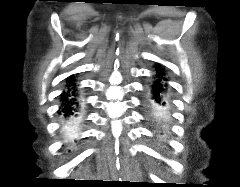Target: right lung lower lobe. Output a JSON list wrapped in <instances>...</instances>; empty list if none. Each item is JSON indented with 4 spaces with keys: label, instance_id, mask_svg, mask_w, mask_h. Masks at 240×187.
<instances>
[{
    "label": "right lung lower lobe",
    "instance_id": "right-lung-lower-lobe-1",
    "mask_svg": "<svg viewBox=\"0 0 240 187\" xmlns=\"http://www.w3.org/2000/svg\"><path fill=\"white\" fill-rule=\"evenodd\" d=\"M67 89L61 94L60 113L68 119V124L72 125L77 122L79 112V102L77 100V93L75 89L74 76L67 78Z\"/></svg>",
    "mask_w": 240,
    "mask_h": 187
}]
</instances>
